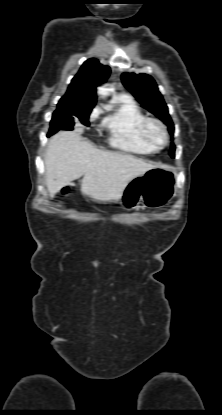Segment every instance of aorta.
Returning a JSON list of instances; mask_svg holds the SVG:
<instances>
[{"mask_svg": "<svg viewBox=\"0 0 222 415\" xmlns=\"http://www.w3.org/2000/svg\"><path fill=\"white\" fill-rule=\"evenodd\" d=\"M99 93L103 96H106L108 94V90L105 87L99 88Z\"/></svg>", "mask_w": 222, "mask_h": 415, "instance_id": "762f6f07", "label": "aorta"}]
</instances>
